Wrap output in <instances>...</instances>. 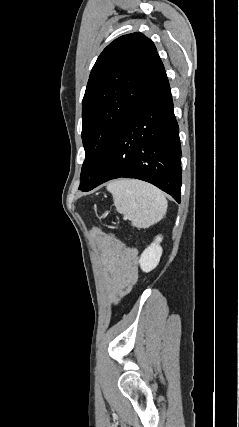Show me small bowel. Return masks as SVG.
<instances>
[{
	"label": "small bowel",
	"mask_w": 239,
	"mask_h": 427,
	"mask_svg": "<svg viewBox=\"0 0 239 427\" xmlns=\"http://www.w3.org/2000/svg\"><path fill=\"white\" fill-rule=\"evenodd\" d=\"M91 234L101 252L109 284L110 299L112 303H118L137 282V250L126 247L119 239L99 229H93Z\"/></svg>",
	"instance_id": "small-bowel-1"
}]
</instances>
